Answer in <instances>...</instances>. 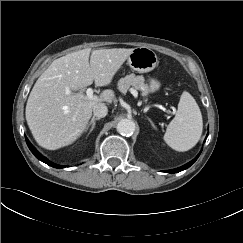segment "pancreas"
<instances>
[{"mask_svg":"<svg viewBox=\"0 0 243 243\" xmlns=\"http://www.w3.org/2000/svg\"><path fill=\"white\" fill-rule=\"evenodd\" d=\"M117 86L121 93H126L131 88L142 91L143 96H147L149 93V87L144 83V78L142 76H136L135 74H130L121 78Z\"/></svg>","mask_w":243,"mask_h":243,"instance_id":"pancreas-1","label":"pancreas"}]
</instances>
